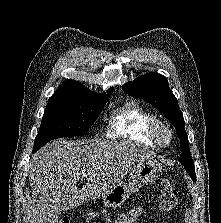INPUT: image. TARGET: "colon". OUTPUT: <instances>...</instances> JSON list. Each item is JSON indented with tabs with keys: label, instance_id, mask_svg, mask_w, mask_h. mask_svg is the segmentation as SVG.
<instances>
[{
	"label": "colon",
	"instance_id": "obj_1",
	"mask_svg": "<svg viewBox=\"0 0 221 223\" xmlns=\"http://www.w3.org/2000/svg\"><path fill=\"white\" fill-rule=\"evenodd\" d=\"M177 203V190L169 183H164L157 197L158 209L162 212L172 210ZM57 223H70V219L63 217Z\"/></svg>",
	"mask_w": 221,
	"mask_h": 223
}]
</instances>
